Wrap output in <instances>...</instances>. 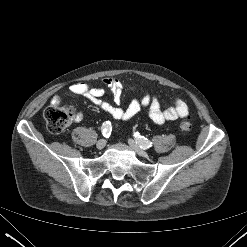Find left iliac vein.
<instances>
[{
	"label": "left iliac vein",
	"mask_w": 247,
	"mask_h": 247,
	"mask_svg": "<svg viewBox=\"0 0 247 247\" xmlns=\"http://www.w3.org/2000/svg\"><path fill=\"white\" fill-rule=\"evenodd\" d=\"M128 143L130 145V147L141 157H148V153L143 150L142 148H140V146L133 140L129 139Z\"/></svg>",
	"instance_id": "obj_1"
}]
</instances>
